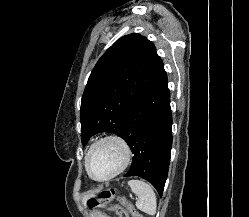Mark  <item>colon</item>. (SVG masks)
Instances as JSON below:
<instances>
[{"label": "colon", "mask_w": 249, "mask_h": 217, "mask_svg": "<svg viewBox=\"0 0 249 217\" xmlns=\"http://www.w3.org/2000/svg\"><path fill=\"white\" fill-rule=\"evenodd\" d=\"M115 197V190L107 188L102 190L97 197L90 198L88 200V206L91 209L109 208V210L115 212L118 217H142L123 197H118L120 201L119 204L110 205Z\"/></svg>", "instance_id": "obj_1"}]
</instances>
